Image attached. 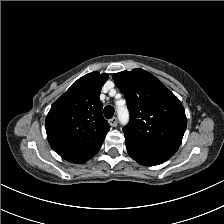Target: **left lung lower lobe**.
Masks as SVG:
<instances>
[{
  "label": "left lung lower lobe",
  "instance_id": "0a47b994",
  "mask_svg": "<svg viewBox=\"0 0 224 224\" xmlns=\"http://www.w3.org/2000/svg\"><path fill=\"white\" fill-rule=\"evenodd\" d=\"M128 154L138 163L146 166L159 165L168 160L174 153L138 143L131 139L125 138Z\"/></svg>",
  "mask_w": 224,
  "mask_h": 224
}]
</instances>
